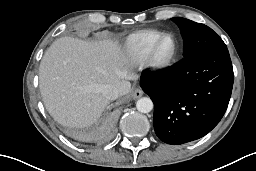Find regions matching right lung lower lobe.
I'll list each match as a JSON object with an SVG mask.
<instances>
[{
  "label": "right lung lower lobe",
  "mask_w": 256,
  "mask_h": 171,
  "mask_svg": "<svg viewBox=\"0 0 256 171\" xmlns=\"http://www.w3.org/2000/svg\"><path fill=\"white\" fill-rule=\"evenodd\" d=\"M120 115V105L114 104L110 106L94 125L76 130L74 137L89 142H103L110 139L114 133V129Z\"/></svg>",
  "instance_id": "right-lung-lower-lobe-1"
}]
</instances>
